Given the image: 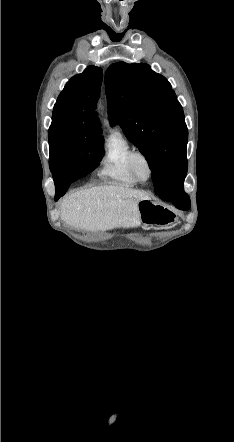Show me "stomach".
<instances>
[{
    "instance_id": "obj_1",
    "label": "stomach",
    "mask_w": 234,
    "mask_h": 442,
    "mask_svg": "<svg viewBox=\"0 0 234 442\" xmlns=\"http://www.w3.org/2000/svg\"><path fill=\"white\" fill-rule=\"evenodd\" d=\"M140 220L144 225L167 226L177 219L176 214L169 207L150 199L138 202Z\"/></svg>"
}]
</instances>
